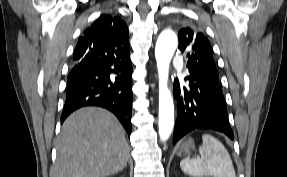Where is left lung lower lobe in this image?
Listing matches in <instances>:
<instances>
[{
  "mask_svg": "<svg viewBox=\"0 0 287 177\" xmlns=\"http://www.w3.org/2000/svg\"><path fill=\"white\" fill-rule=\"evenodd\" d=\"M184 81L185 83L178 79L174 81L178 116L173 144L193 129H213L233 139L220 86H205L191 75L185 77Z\"/></svg>",
  "mask_w": 287,
  "mask_h": 177,
  "instance_id": "left-lung-lower-lobe-1",
  "label": "left lung lower lobe"
}]
</instances>
